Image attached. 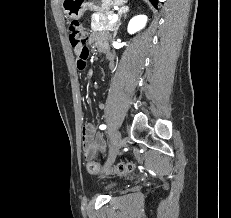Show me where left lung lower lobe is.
I'll use <instances>...</instances> for the list:
<instances>
[{
	"mask_svg": "<svg viewBox=\"0 0 231 218\" xmlns=\"http://www.w3.org/2000/svg\"><path fill=\"white\" fill-rule=\"evenodd\" d=\"M150 2H151L154 6H156V4H157V0H150Z\"/></svg>",
	"mask_w": 231,
	"mask_h": 218,
	"instance_id": "1",
	"label": "left lung lower lobe"
}]
</instances>
